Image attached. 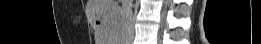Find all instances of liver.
Wrapping results in <instances>:
<instances>
[{
	"mask_svg": "<svg viewBox=\"0 0 261 44\" xmlns=\"http://www.w3.org/2000/svg\"><path fill=\"white\" fill-rule=\"evenodd\" d=\"M115 0H88L87 12L93 24H126L125 14L121 13V8H116ZM119 25H95L96 44H119L123 40V30H119Z\"/></svg>",
	"mask_w": 261,
	"mask_h": 44,
	"instance_id": "6515ba94",
	"label": "liver"
}]
</instances>
